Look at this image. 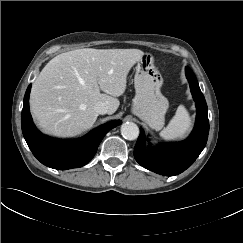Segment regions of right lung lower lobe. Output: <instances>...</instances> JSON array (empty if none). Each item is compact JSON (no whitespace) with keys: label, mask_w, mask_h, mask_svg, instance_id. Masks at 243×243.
I'll return each instance as SVG.
<instances>
[{"label":"right lung lower lobe","mask_w":243,"mask_h":243,"mask_svg":"<svg viewBox=\"0 0 243 243\" xmlns=\"http://www.w3.org/2000/svg\"><path fill=\"white\" fill-rule=\"evenodd\" d=\"M28 86L21 115L24 138L33 155L44 165L57 170L78 168L87 164L95 155L104 136L112 128L121 124L120 120L102 125L77 140H54L43 136L35 128L29 111Z\"/></svg>","instance_id":"obj_1"}]
</instances>
